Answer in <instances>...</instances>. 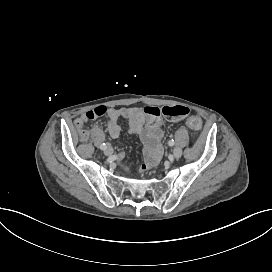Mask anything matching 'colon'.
I'll return each mask as SVG.
<instances>
[{
  "label": "colon",
  "instance_id": "1",
  "mask_svg": "<svg viewBox=\"0 0 272 272\" xmlns=\"http://www.w3.org/2000/svg\"><path fill=\"white\" fill-rule=\"evenodd\" d=\"M107 107L104 105H99L94 108L89 109L85 115L84 120H93L99 117H103L107 114ZM147 116L150 117H159L164 116L168 119H183L185 118L188 113L189 109L185 105H166V106H152L149 107L148 110L145 112ZM77 126L82 129V121H77ZM188 126L193 129L197 130L200 127V120L197 117H192L188 120ZM88 134L86 131H81V138L86 139Z\"/></svg>",
  "mask_w": 272,
  "mask_h": 272
}]
</instances>
